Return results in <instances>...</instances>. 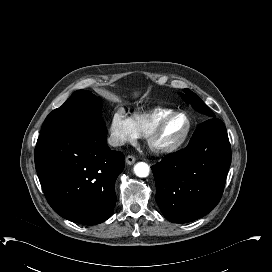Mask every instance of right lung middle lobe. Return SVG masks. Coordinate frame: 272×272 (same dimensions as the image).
<instances>
[{
    "mask_svg": "<svg viewBox=\"0 0 272 272\" xmlns=\"http://www.w3.org/2000/svg\"><path fill=\"white\" fill-rule=\"evenodd\" d=\"M101 106L100 98L90 91L77 90L61 107L53 110L47 116L41 132L54 125L75 121L84 117H98L102 119L100 115Z\"/></svg>",
    "mask_w": 272,
    "mask_h": 272,
    "instance_id": "obj_1",
    "label": "right lung middle lobe"
}]
</instances>
